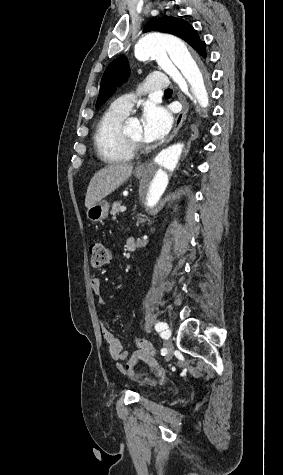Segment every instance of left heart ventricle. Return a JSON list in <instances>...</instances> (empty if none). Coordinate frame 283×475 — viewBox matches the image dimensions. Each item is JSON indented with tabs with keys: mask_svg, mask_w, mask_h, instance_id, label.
<instances>
[{
	"mask_svg": "<svg viewBox=\"0 0 283 475\" xmlns=\"http://www.w3.org/2000/svg\"><path fill=\"white\" fill-rule=\"evenodd\" d=\"M126 135L133 140L136 141H145L143 137V129L142 125L139 121H137L131 128L125 130Z\"/></svg>",
	"mask_w": 283,
	"mask_h": 475,
	"instance_id": "1",
	"label": "left heart ventricle"
}]
</instances>
